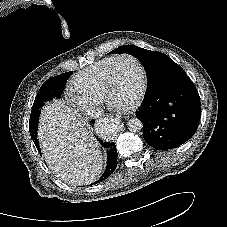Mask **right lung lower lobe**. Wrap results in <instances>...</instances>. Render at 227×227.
Returning <instances> with one entry per match:
<instances>
[{"mask_svg":"<svg viewBox=\"0 0 227 227\" xmlns=\"http://www.w3.org/2000/svg\"><path fill=\"white\" fill-rule=\"evenodd\" d=\"M91 123L94 124L95 120H92ZM100 143L102 144V146L104 148H107V150H108L107 151V155H108L107 167H106L104 174L100 178V181H103L106 178H108L116 169L118 154H117L116 146L114 145V143L102 142V141H100Z\"/></svg>","mask_w":227,"mask_h":227,"instance_id":"obj_1","label":"right lung lower lobe"}]
</instances>
